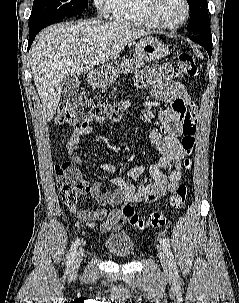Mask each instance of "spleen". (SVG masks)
<instances>
[{
  "label": "spleen",
  "instance_id": "1",
  "mask_svg": "<svg viewBox=\"0 0 239 303\" xmlns=\"http://www.w3.org/2000/svg\"><path fill=\"white\" fill-rule=\"evenodd\" d=\"M196 55H197L198 57H200V58H203L202 54L199 53L198 51L196 52Z\"/></svg>",
  "mask_w": 239,
  "mask_h": 303
}]
</instances>
